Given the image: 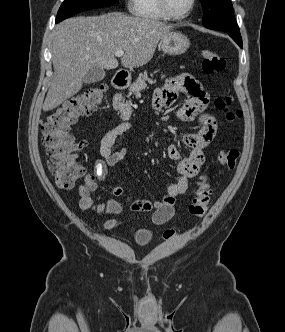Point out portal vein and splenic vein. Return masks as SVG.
<instances>
[{
	"label": "portal vein and splenic vein",
	"mask_w": 285,
	"mask_h": 332,
	"mask_svg": "<svg viewBox=\"0 0 285 332\" xmlns=\"http://www.w3.org/2000/svg\"><path fill=\"white\" fill-rule=\"evenodd\" d=\"M124 55V51L119 49L115 51V56L116 57H122Z\"/></svg>",
	"instance_id": "18ae733b"
}]
</instances>
